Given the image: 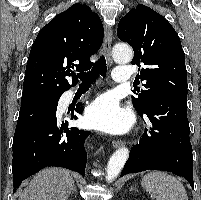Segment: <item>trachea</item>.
<instances>
[{
  "mask_svg": "<svg viewBox=\"0 0 201 200\" xmlns=\"http://www.w3.org/2000/svg\"><path fill=\"white\" fill-rule=\"evenodd\" d=\"M107 74V65L106 60L103 55L98 59L94 67L87 73L77 74V77L82 80L81 86H90L99 75L106 77Z\"/></svg>",
  "mask_w": 201,
  "mask_h": 200,
  "instance_id": "obj_1",
  "label": "trachea"
}]
</instances>
